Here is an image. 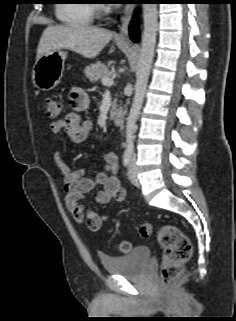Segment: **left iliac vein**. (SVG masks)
<instances>
[{
  "mask_svg": "<svg viewBox=\"0 0 236 321\" xmlns=\"http://www.w3.org/2000/svg\"><path fill=\"white\" fill-rule=\"evenodd\" d=\"M128 178L133 185H139V180L136 173V165L134 159L130 162V167L128 171Z\"/></svg>",
  "mask_w": 236,
  "mask_h": 321,
  "instance_id": "1",
  "label": "left iliac vein"
}]
</instances>
